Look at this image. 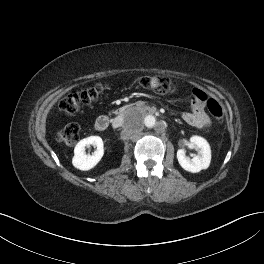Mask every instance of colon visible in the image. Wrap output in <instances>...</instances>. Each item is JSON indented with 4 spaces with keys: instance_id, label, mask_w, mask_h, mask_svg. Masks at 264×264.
<instances>
[{
    "instance_id": "obj_1",
    "label": "colon",
    "mask_w": 264,
    "mask_h": 264,
    "mask_svg": "<svg viewBox=\"0 0 264 264\" xmlns=\"http://www.w3.org/2000/svg\"><path fill=\"white\" fill-rule=\"evenodd\" d=\"M137 82L141 87L159 94H173L176 91V86L171 80L162 76H144ZM105 88V85L99 84L80 92L68 94L61 99L59 109L65 114H76L84 107H89L97 102ZM206 105L212 117L216 121L222 122L224 111L221 105L214 99L208 100ZM79 130L77 124H67L57 133V139L66 146H73L79 139Z\"/></svg>"
}]
</instances>
